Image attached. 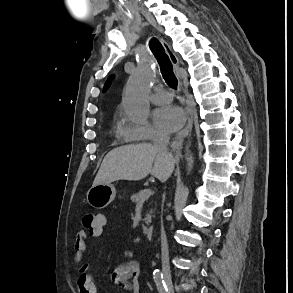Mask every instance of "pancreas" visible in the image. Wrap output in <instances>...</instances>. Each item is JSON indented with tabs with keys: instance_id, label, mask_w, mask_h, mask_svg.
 Returning a JSON list of instances; mask_svg holds the SVG:
<instances>
[{
	"instance_id": "pancreas-1",
	"label": "pancreas",
	"mask_w": 293,
	"mask_h": 293,
	"mask_svg": "<svg viewBox=\"0 0 293 293\" xmlns=\"http://www.w3.org/2000/svg\"><path fill=\"white\" fill-rule=\"evenodd\" d=\"M146 190L147 189H143V190H140L138 193L133 194L131 196V201L134 203L141 201V197L145 194ZM144 221L147 225H149V223L151 222V215L147 214L146 217L144 218ZM144 231L149 233L151 232V229L144 228Z\"/></svg>"
}]
</instances>
